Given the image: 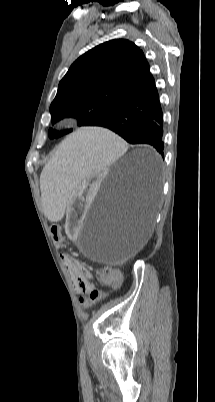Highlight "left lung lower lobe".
I'll use <instances>...</instances> for the list:
<instances>
[{
    "label": "left lung lower lobe",
    "instance_id": "obj_1",
    "mask_svg": "<svg viewBox=\"0 0 215 402\" xmlns=\"http://www.w3.org/2000/svg\"><path fill=\"white\" fill-rule=\"evenodd\" d=\"M96 126L112 130L131 144H149L164 157L163 115L153 76ZM155 193L154 188L147 194L151 206Z\"/></svg>",
    "mask_w": 215,
    "mask_h": 402
}]
</instances>
